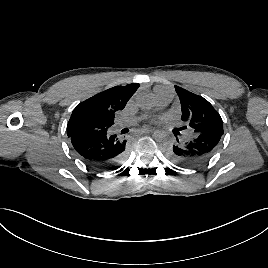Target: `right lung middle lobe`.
Wrapping results in <instances>:
<instances>
[{"label": "right lung middle lobe", "instance_id": "right-lung-middle-lobe-1", "mask_svg": "<svg viewBox=\"0 0 268 268\" xmlns=\"http://www.w3.org/2000/svg\"><path fill=\"white\" fill-rule=\"evenodd\" d=\"M113 124L105 123L88 117L77 118L67 126V134L70 135H96L106 132Z\"/></svg>", "mask_w": 268, "mask_h": 268}]
</instances>
